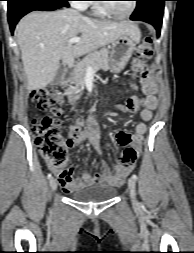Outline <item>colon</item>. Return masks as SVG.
I'll use <instances>...</instances> for the list:
<instances>
[{"label":"colon","instance_id":"colon-1","mask_svg":"<svg viewBox=\"0 0 194 253\" xmlns=\"http://www.w3.org/2000/svg\"><path fill=\"white\" fill-rule=\"evenodd\" d=\"M152 40L145 38L137 47L136 57L133 60L134 71H139L145 60L152 56ZM31 99L41 110L51 109V113L41 119L33 121V133L35 142L43 159L52 166L60 169L67 162L66 141L62 133L59 112L54 108L58 101V95L54 87L47 86L37 89L31 93ZM80 131L75 125L70 129V137H75ZM137 152L132 148H127L117 166L118 169L131 167L137 160Z\"/></svg>","mask_w":194,"mask_h":253}]
</instances>
